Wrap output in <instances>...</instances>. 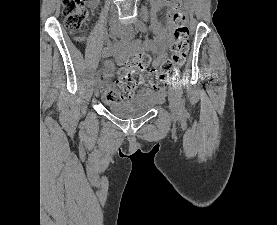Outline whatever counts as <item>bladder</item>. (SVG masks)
Segmentation results:
<instances>
[{
  "label": "bladder",
  "instance_id": "1",
  "mask_svg": "<svg viewBox=\"0 0 277 225\" xmlns=\"http://www.w3.org/2000/svg\"><path fill=\"white\" fill-rule=\"evenodd\" d=\"M159 100L152 90H141L134 97L117 103H108L107 109L115 116L133 119L151 111Z\"/></svg>",
  "mask_w": 277,
  "mask_h": 225
}]
</instances>
